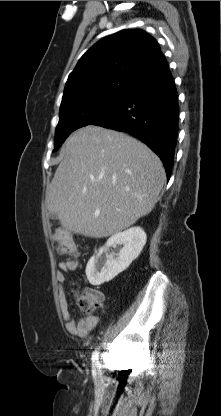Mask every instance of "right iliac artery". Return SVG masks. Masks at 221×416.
I'll return each instance as SVG.
<instances>
[{
  "label": "right iliac artery",
  "mask_w": 221,
  "mask_h": 416,
  "mask_svg": "<svg viewBox=\"0 0 221 416\" xmlns=\"http://www.w3.org/2000/svg\"><path fill=\"white\" fill-rule=\"evenodd\" d=\"M98 359H99V348H97L92 354V358H91L92 364L95 366H98L100 364Z\"/></svg>",
  "instance_id": "1"
}]
</instances>
